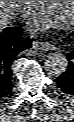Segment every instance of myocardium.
<instances>
[{
  "mask_svg": "<svg viewBox=\"0 0 74 122\" xmlns=\"http://www.w3.org/2000/svg\"><path fill=\"white\" fill-rule=\"evenodd\" d=\"M47 4H50L51 1H45ZM68 21L74 22V2H73V10L71 12V14L67 17Z\"/></svg>",
  "mask_w": 74,
  "mask_h": 122,
  "instance_id": "myocardium-1",
  "label": "myocardium"
}]
</instances>
